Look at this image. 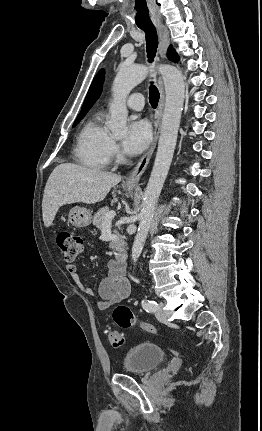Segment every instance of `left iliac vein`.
<instances>
[{"mask_svg": "<svg viewBox=\"0 0 262 431\" xmlns=\"http://www.w3.org/2000/svg\"><path fill=\"white\" fill-rule=\"evenodd\" d=\"M164 303L163 302H159L158 308L155 312L156 318L161 321V322H166L167 320V313L164 310Z\"/></svg>", "mask_w": 262, "mask_h": 431, "instance_id": "1", "label": "left iliac vein"}]
</instances>
